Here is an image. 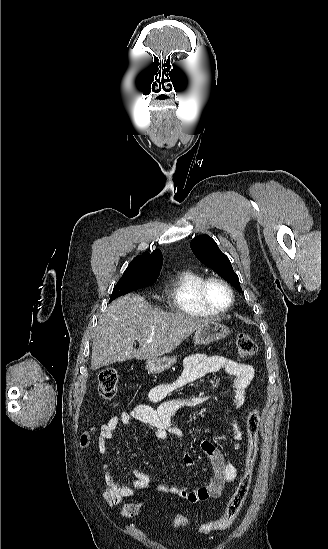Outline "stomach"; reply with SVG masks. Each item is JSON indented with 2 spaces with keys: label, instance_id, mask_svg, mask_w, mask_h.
<instances>
[{
  "label": "stomach",
  "instance_id": "1",
  "mask_svg": "<svg viewBox=\"0 0 328 549\" xmlns=\"http://www.w3.org/2000/svg\"><path fill=\"white\" fill-rule=\"evenodd\" d=\"M230 329L222 323H218L215 319H210L206 325H202L200 329H197L194 333L193 341L195 345H209L213 341H220L229 335ZM176 363V357H156V359H148L146 361V371L148 373H162L166 369H170Z\"/></svg>",
  "mask_w": 328,
  "mask_h": 549
}]
</instances>
